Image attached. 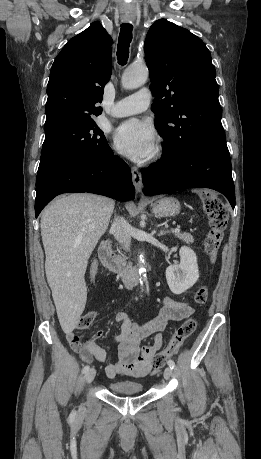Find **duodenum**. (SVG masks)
Segmentation results:
<instances>
[{"mask_svg": "<svg viewBox=\"0 0 261 459\" xmlns=\"http://www.w3.org/2000/svg\"><path fill=\"white\" fill-rule=\"evenodd\" d=\"M98 252L103 264L111 273L118 275L128 284H134L137 282L140 274V268L124 265L113 252L110 241L103 242L99 247ZM145 268H150L149 262H146Z\"/></svg>", "mask_w": 261, "mask_h": 459, "instance_id": "obj_1", "label": "duodenum"}]
</instances>
